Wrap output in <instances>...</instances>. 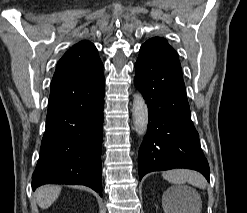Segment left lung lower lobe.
<instances>
[{
    "label": "left lung lower lobe",
    "instance_id": "1",
    "mask_svg": "<svg viewBox=\"0 0 247 213\" xmlns=\"http://www.w3.org/2000/svg\"><path fill=\"white\" fill-rule=\"evenodd\" d=\"M134 83L147 100L148 130L139 150V179L152 171L189 168L209 181V165L191 120L179 59H138Z\"/></svg>",
    "mask_w": 247,
    "mask_h": 213
}]
</instances>
